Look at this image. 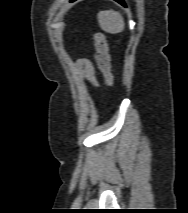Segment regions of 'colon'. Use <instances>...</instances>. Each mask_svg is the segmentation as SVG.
<instances>
[{"instance_id": "1", "label": "colon", "mask_w": 188, "mask_h": 213, "mask_svg": "<svg viewBox=\"0 0 188 213\" xmlns=\"http://www.w3.org/2000/svg\"><path fill=\"white\" fill-rule=\"evenodd\" d=\"M95 49H96V62L99 69L103 73L106 83L109 86L114 84V73L112 71L111 58L109 53V45L107 38L103 33H96L94 36Z\"/></svg>"}]
</instances>
